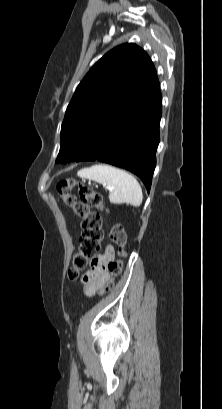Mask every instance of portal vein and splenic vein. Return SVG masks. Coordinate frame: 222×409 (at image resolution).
Listing matches in <instances>:
<instances>
[{"label": "portal vein and splenic vein", "instance_id": "18ae733b", "mask_svg": "<svg viewBox=\"0 0 222 409\" xmlns=\"http://www.w3.org/2000/svg\"><path fill=\"white\" fill-rule=\"evenodd\" d=\"M107 189H108V190H111V187L108 186Z\"/></svg>", "mask_w": 222, "mask_h": 409}]
</instances>
